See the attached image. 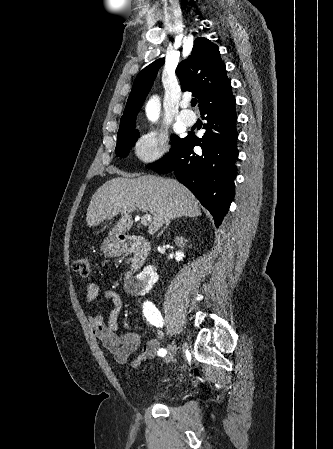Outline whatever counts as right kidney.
I'll return each instance as SVG.
<instances>
[{
    "label": "right kidney",
    "instance_id": "ca27d5eb",
    "mask_svg": "<svg viewBox=\"0 0 333 449\" xmlns=\"http://www.w3.org/2000/svg\"><path fill=\"white\" fill-rule=\"evenodd\" d=\"M185 257L182 250H178L175 254V260L177 262L183 260ZM159 275L155 272L153 266L149 265L143 269V271L136 276L135 293L144 295L149 292L153 285L158 281Z\"/></svg>",
    "mask_w": 333,
    "mask_h": 449
}]
</instances>
